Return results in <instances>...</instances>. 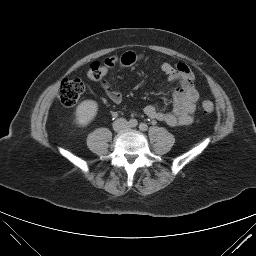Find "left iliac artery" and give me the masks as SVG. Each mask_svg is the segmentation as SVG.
I'll return each mask as SVG.
<instances>
[{
  "label": "left iliac artery",
  "mask_w": 256,
  "mask_h": 256,
  "mask_svg": "<svg viewBox=\"0 0 256 256\" xmlns=\"http://www.w3.org/2000/svg\"><path fill=\"white\" fill-rule=\"evenodd\" d=\"M139 129H140L141 131H146V130L148 129V126H147V124H145V123H140Z\"/></svg>",
  "instance_id": "left-iliac-artery-1"
}]
</instances>
